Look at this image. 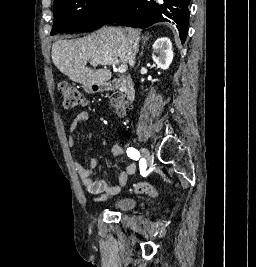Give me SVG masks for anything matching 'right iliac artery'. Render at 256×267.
<instances>
[{"label": "right iliac artery", "instance_id": "1", "mask_svg": "<svg viewBox=\"0 0 256 267\" xmlns=\"http://www.w3.org/2000/svg\"><path fill=\"white\" fill-rule=\"evenodd\" d=\"M127 155L133 160H138L140 158V153L135 148L129 147L127 149Z\"/></svg>", "mask_w": 256, "mask_h": 267}]
</instances>
